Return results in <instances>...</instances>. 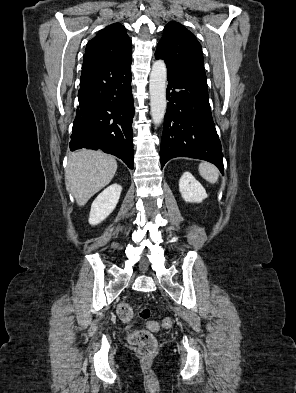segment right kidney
Instances as JSON below:
<instances>
[{
	"label": "right kidney",
	"mask_w": 296,
	"mask_h": 393,
	"mask_svg": "<svg viewBox=\"0 0 296 393\" xmlns=\"http://www.w3.org/2000/svg\"><path fill=\"white\" fill-rule=\"evenodd\" d=\"M122 187L119 184H113L101 192L91 205L89 223L97 225L105 220L115 209Z\"/></svg>",
	"instance_id": "ca27d5eb"
}]
</instances>
